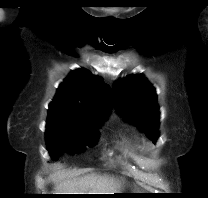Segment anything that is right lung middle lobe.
Returning a JSON list of instances; mask_svg holds the SVG:
<instances>
[{
    "label": "right lung middle lobe",
    "instance_id": "obj_1",
    "mask_svg": "<svg viewBox=\"0 0 208 198\" xmlns=\"http://www.w3.org/2000/svg\"><path fill=\"white\" fill-rule=\"evenodd\" d=\"M105 120L74 115H49L46 139L50 156L58 158L62 152H84L98 141V129Z\"/></svg>",
    "mask_w": 208,
    "mask_h": 198
}]
</instances>
